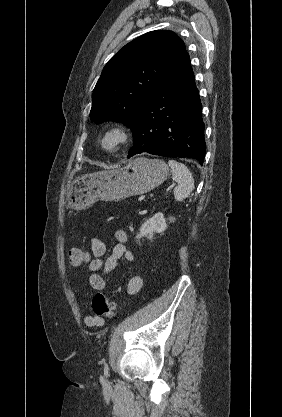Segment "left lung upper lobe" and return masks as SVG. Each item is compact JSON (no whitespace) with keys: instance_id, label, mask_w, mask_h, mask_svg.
Returning a JSON list of instances; mask_svg holds the SVG:
<instances>
[{"instance_id":"obj_1","label":"left lung upper lobe","mask_w":282,"mask_h":417,"mask_svg":"<svg viewBox=\"0 0 282 417\" xmlns=\"http://www.w3.org/2000/svg\"><path fill=\"white\" fill-rule=\"evenodd\" d=\"M186 52L172 31H151L125 45L104 67L93 90L90 118L133 127L137 112L172 65Z\"/></svg>"}]
</instances>
